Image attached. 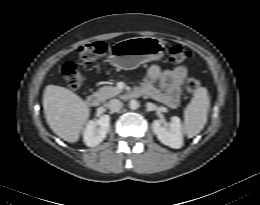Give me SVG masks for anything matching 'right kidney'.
<instances>
[{
    "label": "right kidney",
    "mask_w": 260,
    "mask_h": 205,
    "mask_svg": "<svg viewBox=\"0 0 260 205\" xmlns=\"http://www.w3.org/2000/svg\"><path fill=\"white\" fill-rule=\"evenodd\" d=\"M110 129V117L101 116L98 120L88 122L84 130V142L89 147H95L106 137Z\"/></svg>",
    "instance_id": "obj_1"
}]
</instances>
